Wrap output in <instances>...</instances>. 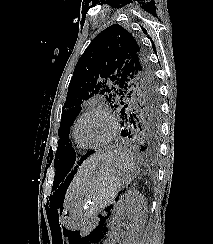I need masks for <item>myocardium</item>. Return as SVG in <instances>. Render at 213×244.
<instances>
[{"mask_svg":"<svg viewBox=\"0 0 213 244\" xmlns=\"http://www.w3.org/2000/svg\"><path fill=\"white\" fill-rule=\"evenodd\" d=\"M102 114L108 121L109 126H110V131L108 136L99 144L96 145H87L84 144L83 142H81V140L79 139L78 135H77V128L79 123L88 115L91 114ZM117 130H118V124L116 119L114 118L113 114L111 113V111L104 106H97V107H93L90 109H87L86 111H84L74 122L73 128H72V137L75 140V142L83 149H100L105 147L106 145H108L116 136L117 134Z\"/></svg>","mask_w":213,"mask_h":244,"instance_id":"myocardium-1","label":"myocardium"}]
</instances>
